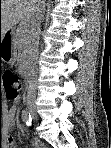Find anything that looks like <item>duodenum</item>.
Segmentation results:
<instances>
[{"instance_id":"obj_1","label":"duodenum","mask_w":111,"mask_h":148,"mask_svg":"<svg viewBox=\"0 0 111 148\" xmlns=\"http://www.w3.org/2000/svg\"><path fill=\"white\" fill-rule=\"evenodd\" d=\"M31 81H32V78L29 77V76H26V82H27V83H30Z\"/></svg>"}]
</instances>
